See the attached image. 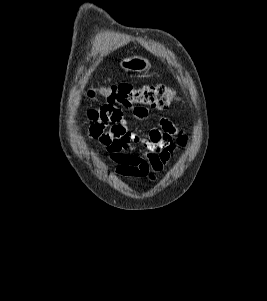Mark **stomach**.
<instances>
[{
  "instance_id": "obj_1",
  "label": "stomach",
  "mask_w": 267,
  "mask_h": 301,
  "mask_svg": "<svg viewBox=\"0 0 267 301\" xmlns=\"http://www.w3.org/2000/svg\"><path fill=\"white\" fill-rule=\"evenodd\" d=\"M120 66L126 71L143 72L150 68V63L147 59L134 56L128 59H124L120 62Z\"/></svg>"
}]
</instances>
